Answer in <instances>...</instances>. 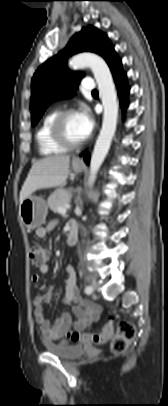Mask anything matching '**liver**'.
<instances>
[{
    "label": "liver",
    "instance_id": "liver-1",
    "mask_svg": "<svg viewBox=\"0 0 168 406\" xmlns=\"http://www.w3.org/2000/svg\"><path fill=\"white\" fill-rule=\"evenodd\" d=\"M69 163L68 155L49 156L33 163L20 192V204L36 190L63 184L69 175Z\"/></svg>",
    "mask_w": 168,
    "mask_h": 406
}]
</instances>
